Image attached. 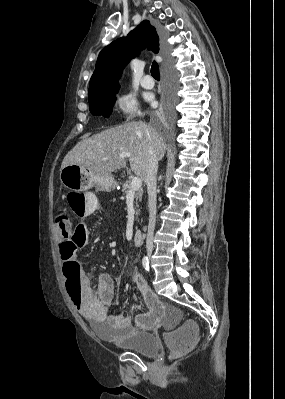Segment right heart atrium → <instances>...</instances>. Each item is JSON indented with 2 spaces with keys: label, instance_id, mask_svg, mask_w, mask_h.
I'll return each instance as SVG.
<instances>
[{
  "label": "right heart atrium",
  "instance_id": "obj_1",
  "mask_svg": "<svg viewBox=\"0 0 285 399\" xmlns=\"http://www.w3.org/2000/svg\"><path fill=\"white\" fill-rule=\"evenodd\" d=\"M115 107L121 117L125 119H133L141 114L135 96L129 92L117 96Z\"/></svg>",
  "mask_w": 285,
  "mask_h": 399
}]
</instances>
